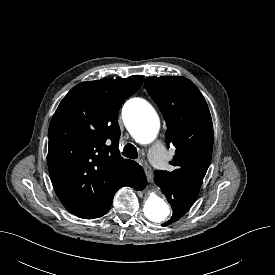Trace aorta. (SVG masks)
<instances>
[{"mask_svg":"<svg viewBox=\"0 0 275 275\" xmlns=\"http://www.w3.org/2000/svg\"><path fill=\"white\" fill-rule=\"evenodd\" d=\"M123 120L131 135L141 144L152 142L160 129V119L155 109L145 100L131 99L123 107ZM144 216L160 226L171 216V208L156 193L149 194L143 208Z\"/></svg>","mask_w":275,"mask_h":275,"instance_id":"762f6f07","label":"aorta"}]
</instances>
